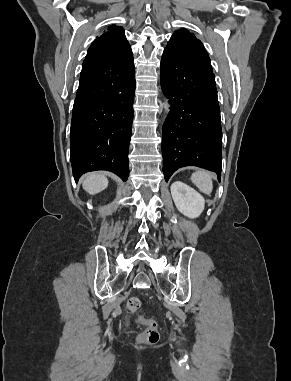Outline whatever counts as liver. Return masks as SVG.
I'll use <instances>...</instances> for the list:
<instances>
[{
	"label": "liver",
	"mask_w": 291,
	"mask_h": 381,
	"mask_svg": "<svg viewBox=\"0 0 291 381\" xmlns=\"http://www.w3.org/2000/svg\"><path fill=\"white\" fill-rule=\"evenodd\" d=\"M82 186L85 191L91 195H94L107 188L108 179L102 173H88L83 179Z\"/></svg>",
	"instance_id": "6515ba94"
}]
</instances>
